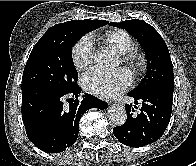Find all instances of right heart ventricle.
Instances as JSON below:
<instances>
[{
    "label": "right heart ventricle",
    "instance_id": "obj_1",
    "mask_svg": "<svg viewBox=\"0 0 196 166\" xmlns=\"http://www.w3.org/2000/svg\"><path fill=\"white\" fill-rule=\"evenodd\" d=\"M103 40L120 55L128 53L134 47L131 36L123 30L108 31Z\"/></svg>",
    "mask_w": 196,
    "mask_h": 166
}]
</instances>
